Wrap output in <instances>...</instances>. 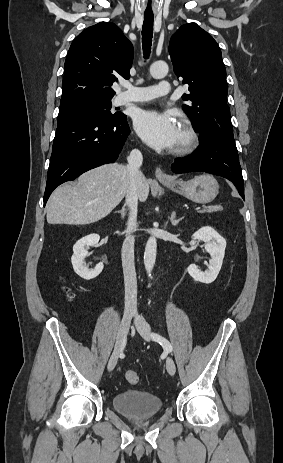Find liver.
<instances>
[{
  "instance_id": "liver-1",
  "label": "liver",
  "mask_w": 283,
  "mask_h": 463,
  "mask_svg": "<svg viewBox=\"0 0 283 463\" xmlns=\"http://www.w3.org/2000/svg\"><path fill=\"white\" fill-rule=\"evenodd\" d=\"M127 166L111 163L92 169L76 183L58 187L47 203L49 224L86 225L106 217L123 199L129 184ZM150 181L139 187V199L146 201Z\"/></svg>"
}]
</instances>
